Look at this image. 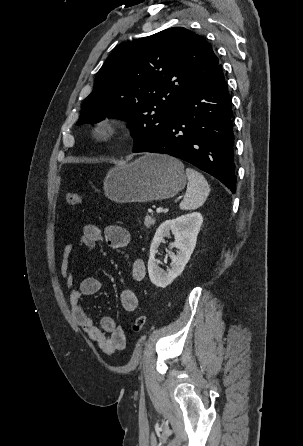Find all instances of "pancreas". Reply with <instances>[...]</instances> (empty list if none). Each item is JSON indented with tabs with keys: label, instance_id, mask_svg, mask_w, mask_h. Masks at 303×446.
Listing matches in <instances>:
<instances>
[{
	"label": "pancreas",
	"instance_id": "1",
	"mask_svg": "<svg viewBox=\"0 0 303 446\" xmlns=\"http://www.w3.org/2000/svg\"><path fill=\"white\" fill-rule=\"evenodd\" d=\"M155 224V219L149 215L145 217L144 225L146 228H150Z\"/></svg>",
	"mask_w": 303,
	"mask_h": 446
}]
</instances>
